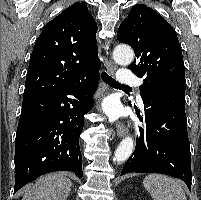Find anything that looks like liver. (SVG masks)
<instances>
[{
	"label": "liver",
	"mask_w": 201,
	"mask_h": 200,
	"mask_svg": "<svg viewBox=\"0 0 201 200\" xmlns=\"http://www.w3.org/2000/svg\"><path fill=\"white\" fill-rule=\"evenodd\" d=\"M72 187L63 173L47 174L37 180L22 200H66Z\"/></svg>",
	"instance_id": "1"
}]
</instances>
